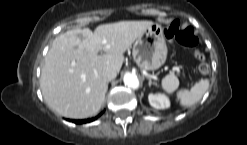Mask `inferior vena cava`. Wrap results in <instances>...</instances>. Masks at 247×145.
<instances>
[{
  "label": "inferior vena cava",
  "instance_id": "1",
  "mask_svg": "<svg viewBox=\"0 0 247 145\" xmlns=\"http://www.w3.org/2000/svg\"><path fill=\"white\" fill-rule=\"evenodd\" d=\"M102 76H103L105 81L109 82V81L113 80L114 78H116L117 73L113 69L106 68L103 70Z\"/></svg>",
  "mask_w": 247,
  "mask_h": 145
}]
</instances>
